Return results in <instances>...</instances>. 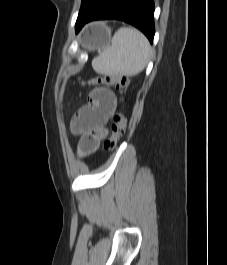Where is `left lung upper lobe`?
<instances>
[{"mask_svg": "<svg viewBox=\"0 0 227 265\" xmlns=\"http://www.w3.org/2000/svg\"><path fill=\"white\" fill-rule=\"evenodd\" d=\"M105 0H82L76 23L90 16Z\"/></svg>", "mask_w": 227, "mask_h": 265, "instance_id": "left-lung-upper-lobe-1", "label": "left lung upper lobe"}]
</instances>
